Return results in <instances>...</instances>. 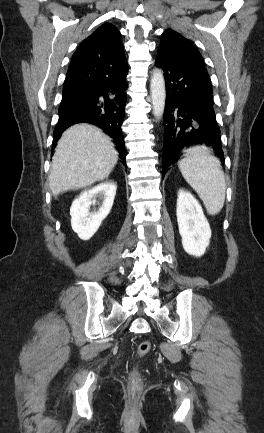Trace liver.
Returning a JSON list of instances; mask_svg holds the SVG:
<instances>
[{"label":"liver","mask_w":264,"mask_h":433,"mask_svg":"<svg viewBox=\"0 0 264 433\" xmlns=\"http://www.w3.org/2000/svg\"><path fill=\"white\" fill-rule=\"evenodd\" d=\"M118 160L111 139L100 129L77 124L59 139L49 176L53 196L87 187L107 178Z\"/></svg>","instance_id":"1"}]
</instances>
